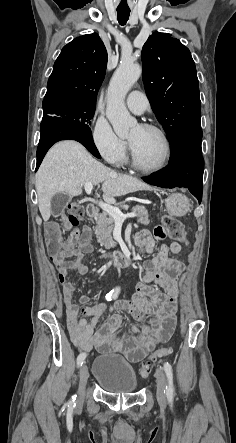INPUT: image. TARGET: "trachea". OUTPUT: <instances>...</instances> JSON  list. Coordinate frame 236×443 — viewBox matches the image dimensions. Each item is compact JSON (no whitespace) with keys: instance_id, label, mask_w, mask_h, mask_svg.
<instances>
[{"instance_id":"obj_1","label":"trachea","mask_w":236,"mask_h":443,"mask_svg":"<svg viewBox=\"0 0 236 443\" xmlns=\"http://www.w3.org/2000/svg\"><path fill=\"white\" fill-rule=\"evenodd\" d=\"M130 15V9H117L118 22L125 25Z\"/></svg>"}]
</instances>
